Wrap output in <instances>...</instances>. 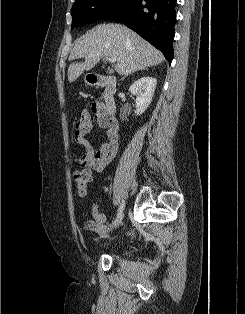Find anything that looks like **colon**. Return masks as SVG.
I'll return each instance as SVG.
<instances>
[{
	"instance_id": "5ec220e1",
	"label": "colon",
	"mask_w": 245,
	"mask_h": 314,
	"mask_svg": "<svg viewBox=\"0 0 245 314\" xmlns=\"http://www.w3.org/2000/svg\"><path fill=\"white\" fill-rule=\"evenodd\" d=\"M92 179V172L88 168H82L74 173V184L80 196H84L87 193L89 184ZM95 223L90 221L86 224V228L89 230L94 229Z\"/></svg>"
}]
</instances>
